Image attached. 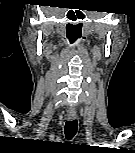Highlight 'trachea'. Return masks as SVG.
<instances>
[{
  "label": "trachea",
  "mask_w": 135,
  "mask_h": 153,
  "mask_svg": "<svg viewBox=\"0 0 135 153\" xmlns=\"http://www.w3.org/2000/svg\"><path fill=\"white\" fill-rule=\"evenodd\" d=\"M77 128H78L77 120L67 121L65 124V127H64V132H65L66 138L72 139L77 132Z\"/></svg>",
  "instance_id": "3493384b"
}]
</instances>
